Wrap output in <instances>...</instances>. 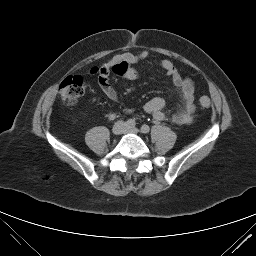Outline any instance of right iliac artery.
I'll return each instance as SVG.
<instances>
[{"instance_id": "right-iliac-artery-1", "label": "right iliac artery", "mask_w": 256, "mask_h": 256, "mask_svg": "<svg viewBox=\"0 0 256 256\" xmlns=\"http://www.w3.org/2000/svg\"><path fill=\"white\" fill-rule=\"evenodd\" d=\"M125 124H126V126H128V127H135L136 122H135V120H133V119H128Z\"/></svg>"}]
</instances>
